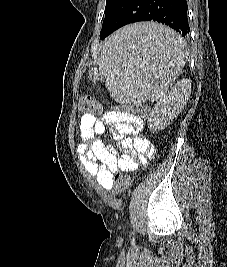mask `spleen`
Returning <instances> with one entry per match:
<instances>
[{
  "instance_id": "spleen-1",
  "label": "spleen",
  "mask_w": 227,
  "mask_h": 267,
  "mask_svg": "<svg viewBox=\"0 0 227 267\" xmlns=\"http://www.w3.org/2000/svg\"><path fill=\"white\" fill-rule=\"evenodd\" d=\"M100 42L101 55L110 67L104 87H113L119 101L137 96L157 100L172 87L182 73L187 56L186 44L175 31L154 22L139 19L117 29Z\"/></svg>"
}]
</instances>
